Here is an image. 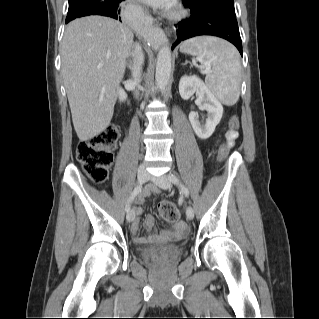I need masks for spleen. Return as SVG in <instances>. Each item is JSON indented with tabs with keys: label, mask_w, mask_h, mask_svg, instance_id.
<instances>
[{
	"label": "spleen",
	"mask_w": 319,
	"mask_h": 319,
	"mask_svg": "<svg viewBox=\"0 0 319 319\" xmlns=\"http://www.w3.org/2000/svg\"><path fill=\"white\" fill-rule=\"evenodd\" d=\"M182 53L197 56L211 72L205 83L211 93L227 106L235 105L240 95L241 63L236 48L230 43L211 36L186 40Z\"/></svg>",
	"instance_id": "3e777b00"
}]
</instances>
